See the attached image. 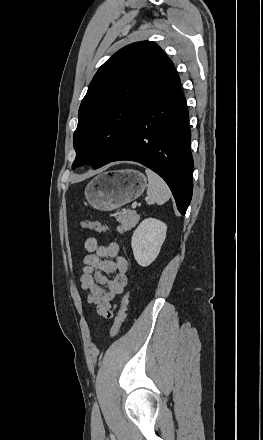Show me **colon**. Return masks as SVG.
<instances>
[{"label": "colon", "mask_w": 263, "mask_h": 440, "mask_svg": "<svg viewBox=\"0 0 263 440\" xmlns=\"http://www.w3.org/2000/svg\"><path fill=\"white\" fill-rule=\"evenodd\" d=\"M80 226L83 229L91 230V231H94L97 233H104L106 231V229L103 225H101L97 221L90 220V219H83L80 222ZM126 315H127V296H125L121 302V308L119 311L117 321L111 330V337H114L119 333V331L121 330V327L126 319Z\"/></svg>", "instance_id": "obj_1"}]
</instances>
